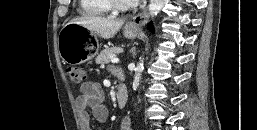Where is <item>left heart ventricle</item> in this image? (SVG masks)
Instances as JSON below:
<instances>
[{"instance_id":"obj_1","label":"left heart ventricle","mask_w":257,"mask_h":130,"mask_svg":"<svg viewBox=\"0 0 257 130\" xmlns=\"http://www.w3.org/2000/svg\"><path fill=\"white\" fill-rule=\"evenodd\" d=\"M121 2H123V3H132V2H134L133 0H120Z\"/></svg>"}]
</instances>
